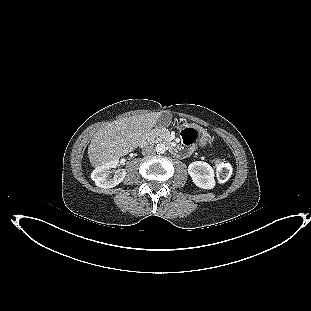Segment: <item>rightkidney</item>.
<instances>
[{
    "mask_svg": "<svg viewBox=\"0 0 311 311\" xmlns=\"http://www.w3.org/2000/svg\"><path fill=\"white\" fill-rule=\"evenodd\" d=\"M117 160L105 163L102 166L97 167L91 174V178L95 181L96 186L100 188H113L121 183L125 176V169H118L115 174H112L111 168H115Z\"/></svg>",
    "mask_w": 311,
    "mask_h": 311,
    "instance_id": "1",
    "label": "right kidney"
}]
</instances>
